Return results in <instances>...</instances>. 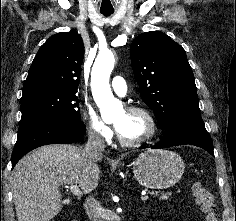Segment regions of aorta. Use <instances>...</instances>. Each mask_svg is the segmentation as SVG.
I'll return each mask as SVG.
<instances>
[{
	"instance_id": "obj_1",
	"label": "aorta",
	"mask_w": 236,
	"mask_h": 221,
	"mask_svg": "<svg viewBox=\"0 0 236 221\" xmlns=\"http://www.w3.org/2000/svg\"><path fill=\"white\" fill-rule=\"evenodd\" d=\"M114 64V55L108 51L98 55L92 68V93L103 119H112L123 113V105L114 98L109 85Z\"/></svg>"
}]
</instances>
